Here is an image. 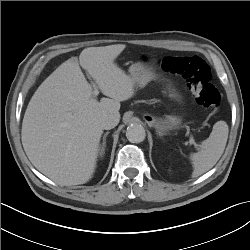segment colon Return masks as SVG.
Returning <instances> with one entry per match:
<instances>
[{
    "label": "colon",
    "mask_w": 250,
    "mask_h": 250,
    "mask_svg": "<svg viewBox=\"0 0 250 250\" xmlns=\"http://www.w3.org/2000/svg\"><path fill=\"white\" fill-rule=\"evenodd\" d=\"M161 68L168 73L182 77L196 102L210 110L220 106L221 96L211 83V71L199 56H168L160 61Z\"/></svg>",
    "instance_id": "obj_1"
}]
</instances>
